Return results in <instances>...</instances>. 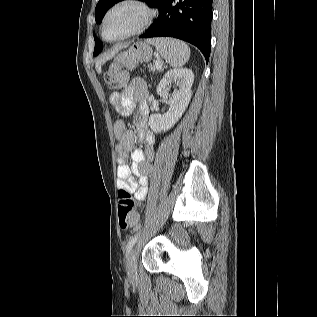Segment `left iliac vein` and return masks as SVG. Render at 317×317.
Here are the masks:
<instances>
[{
  "instance_id": "4c4485c4",
  "label": "left iliac vein",
  "mask_w": 317,
  "mask_h": 317,
  "mask_svg": "<svg viewBox=\"0 0 317 317\" xmlns=\"http://www.w3.org/2000/svg\"><path fill=\"white\" fill-rule=\"evenodd\" d=\"M136 248H133L127 257L126 260V269L128 277L132 280L137 278V261H136Z\"/></svg>"
}]
</instances>
